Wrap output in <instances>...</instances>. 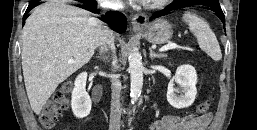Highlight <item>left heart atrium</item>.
<instances>
[{"instance_id":"left-heart-atrium-1","label":"left heart atrium","mask_w":257,"mask_h":130,"mask_svg":"<svg viewBox=\"0 0 257 130\" xmlns=\"http://www.w3.org/2000/svg\"><path fill=\"white\" fill-rule=\"evenodd\" d=\"M133 1L145 3L146 1H149V0H133Z\"/></svg>"}]
</instances>
